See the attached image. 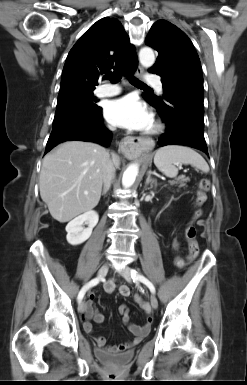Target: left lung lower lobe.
Returning a JSON list of instances; mask_svg holds the SVG:
<instances>
[{"label": "left lung lower lobe", "instance_id": "1", "mask_svg": "<svg viewBox=\"0 0 247 385\" xmlns=\"http://www.w3.org/2000/svg\"><path fill=\"white\" fill-rule=\"evenodd\" d=\"M154 107L167 125L166 132L158 140L159 146L178 144L208 153L204 139L203 103L179 93H170L162 106Z\"/></svg>", "mask_w": 247, "mask_h": 385}]
</instances>
